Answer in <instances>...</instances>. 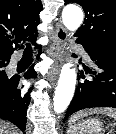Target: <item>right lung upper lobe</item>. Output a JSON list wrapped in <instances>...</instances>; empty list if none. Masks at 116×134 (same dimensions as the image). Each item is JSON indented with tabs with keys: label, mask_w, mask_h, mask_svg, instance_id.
<instances>
[{
	"label": "right lung upper lobe",
	"mask_w": 116,
	"mask_h": 134,
	"mask_svg": "<svg viewBox=\"0 0 116 134\" xmlns=\"http://www.w3.org/2000/svg\"><path fill=\"white\" fill-rule=\"evenodd\" d=\"M41 0H0V62H9L21 42H34Z\"/></svg>",
	"instance_id": "obj_1"
}]
</instances>
